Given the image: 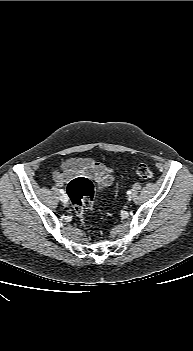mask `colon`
<instances>
[{
    "label": "colon",
    "instance_id": "5ec220e1",
    "mask_svg": "<svg viewBox=\"0 0 193 351\" xmlns=\"http://www.w3.org/2000/svg\"><path fill=\"white\" fill-rule=\"evenodd\" d=\"M135 174L142 179H152L153 171L144 163H140L134 168ZM67 193L70 197L73 209L81 221H85V216L93 205L94 186L90 179L86 177H75L67 185Z\"/></svg>",
    "mask_w": 193,
    "mask_h": 351
}]
</instances>
